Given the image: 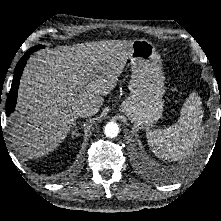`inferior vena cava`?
<instances>
[{
  "label": "inferior vena cava",
  "mask_w": 221,
  "mask_h": 221,
  "mask_svg": "<svg viewBox=\"0 0 221 221\" xmlns=\"http://www.w3.org/2000/svg\"><path fill=\"white\" fill-rule=\"evenodd\" d=\"M97 111L98 109L91 106L90 104H83L77 108L76 114L80 118H87L89 116L96 114Z\"/></svg>",
  "instance_id": "inferior-vena-cava-1"
}]
</instances>
